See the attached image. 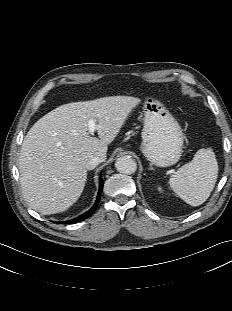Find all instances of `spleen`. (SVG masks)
Instances as JSON below:
<instances>
[{
	"label": "spleen",
	"mask_w": 232,
	"mask_h": 311,
	"mask_svg": "<svg viewBox=\"0 0 232 311\" xmlns=\"http://www.w3.org/2000/svg\"><path fill=\"white\" fill-rule=\"evenodd\" d=\"M218 163L211 148L199 149L193 160L174 173L169 184L172 190L191 206L203 204L214 189Z\"/></svg>",
	"instance_id": "1"
}]
</instances>
